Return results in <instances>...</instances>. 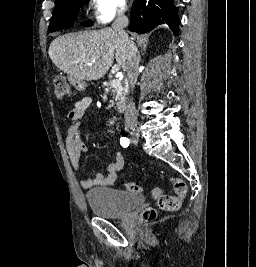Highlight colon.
<instances>
[{
    "label": "colon",
    "instance_id": "5ec220e1",
    "mask_svg": "<svg viewBox=\"0 0 256 267\" xmlns=\"http://www.w3.org/2000/svg\"><path fill=\"white\" fill-rule=\"evenodd\" d=\"M55 95L58 99H66L72 96V84L68 82L65 78H58L55 80ZM170 183L172 185L173 193L172 196L160 197L162 200L156 201L159 209L169 212L175 213L179 210L180 204L183 198L187 196V185L184 180L179 178H170ZM125 189L138 193L140 191V186L136 182H127L125 183ZM161 191L160 188H154L153 197H159L154 195H159ZM143 224H148L149 220H152L156 217V209L150 208L143 212L142 214Z\"/></svg>",
    "mask_w": 256,
    "mask_h": 267
}]
</instances>
